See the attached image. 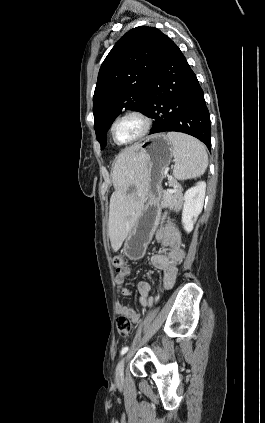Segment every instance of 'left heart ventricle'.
<instances>
[{
  "mask_svg": "<svg viewBox=\"0 0 265 423\" xmlns=\"http://www.w3.org/2000/svg\"><path fill=\"white\" fill-rule=\"evenodd\" d=\"M142 129L141 122L136 118L120 121L115 127V134L119 141L126 142L135 138Z\"/></svg>",
  "mask_w": 265,
  "mask_h": 423,
  "instance_id": "1",
  "label": "left heart ventricle"
}]
</instances>
